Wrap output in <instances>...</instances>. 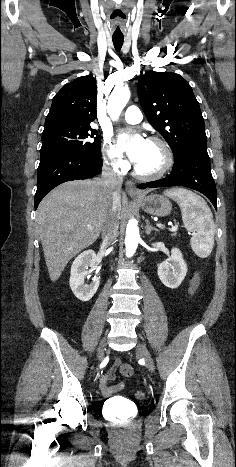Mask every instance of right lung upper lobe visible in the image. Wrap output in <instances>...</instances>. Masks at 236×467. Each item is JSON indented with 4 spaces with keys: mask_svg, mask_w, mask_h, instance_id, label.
I'll use <instances>...</instances> for the list:
<instances>
[{
    "mask_svg": "<svg viewBox=\"0 0 236 467\" xmlns=\"http://www.w3.org/2000/svg\"><path fill=\"white\" fill-rule=\"evenodd\" d=\"M97 85L92 76L66 84L55 95L44 128L58 125L88 126L96 119Z\"/></svg>",
    "mask_w": 236,
    "mask_h": 467,
    "instance_id": "1",
    "label": "right lung upper lobe"
}]
</instances>
